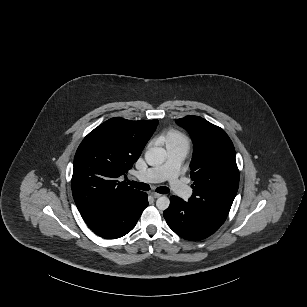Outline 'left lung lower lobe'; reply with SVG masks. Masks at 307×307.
Masks as SVG:
<instances>
[{
  "label": "left lung lower lobe",
  "mask_w": 307,
  "mask_h": 307,
  "mask_svg": "<svg viewBox=\"0 0 307 307\" xmlns=\"http://www.w3.org/2000/svg\"><path fill=\"white\" fill-rule=\"evenodd\" d=\"M164 217L176 234L191 241L210 236L223 224L177 196L170 198V206L164 211Z\"/></svg>",
  "instance_id": "0a47b994"
}]
</instances>
